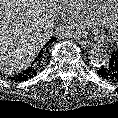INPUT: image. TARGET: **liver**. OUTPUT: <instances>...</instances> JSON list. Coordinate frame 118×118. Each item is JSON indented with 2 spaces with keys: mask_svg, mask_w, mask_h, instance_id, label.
<instances>
[{
  "mask_svg": "<svg viewBox=\"0 0 118 118\" xmlns=\"http://www.w3.org/2000/svg\"><path fill=\"white\" fill-rule=\"evenodd\" d=\"M59 9V0H0L1 72L30 66L51 38Z\"/></svg>",
  "mask_w": 118,
  "mask_h": 118,
  "instance_id": "liver-1",
  "label": "liver"
}]
</instances>
